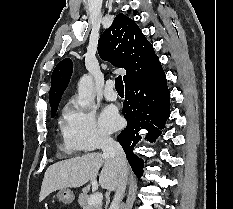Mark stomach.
I'll list each match as a JSON object with an SVG mask.
<instances>
[{"label":"stomach","mask_w":233,"mask_h":209,"mask_svg":"<svg viewBox=\"0 0 233 209\" xmlns=\"http://www.w3.org/2000/svg\"><path fill=\"white\" fill-rule=\"evenodd\" d=\"M53 198L59 200L63 204H71L74 199V193L69 189L59 190L56 194L53 195Z\"/></svg>","instance_id":"1"}]
</instances>
